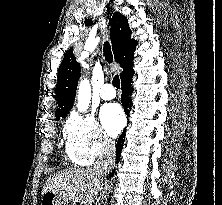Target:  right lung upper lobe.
<instances>
[{
	"label": "right lung upper lobe",
	"instance_id": "obj_1",
	"mask_svg": "<svg viewBox=\"0 0 222 205\" xmlns=\"http://www.w3.org/2000/svg\"><path fill=\"white\" fill-rule=\"evenodd\" d=\"M110 38L115 61L123 68L120 74V78L122 79L134 72L132 69V61L134 59V51L137 42L131 39V30L127 18L119 12L113 15ZM79 78L80 65L74 57L73 50L69 49L58 69L56 85L58 109L55 112L56 118L66 116L72 108Z\"/></svg>",
	"mask_w": 222,
	"mask_h": 205
}]
</instances>
